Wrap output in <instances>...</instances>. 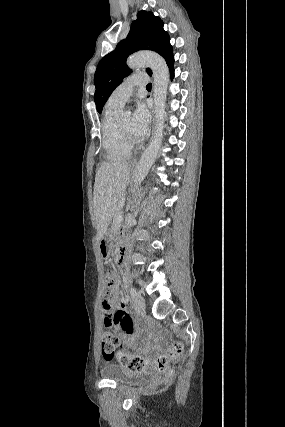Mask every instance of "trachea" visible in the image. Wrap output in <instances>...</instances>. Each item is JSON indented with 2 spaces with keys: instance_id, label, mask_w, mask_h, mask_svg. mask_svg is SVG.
Here are the masks:
<instances>
[{
  "instance_id": "3493384b",
  "label": "trachea",
  "mask_w": 285,
  "mask_h": 427,
  "mask_svg": "<svg viewBox=\"0 0 285 427\" xmlns=\"http://www.w3.org/2000/svg\"><path fill=\"white\" fill-rule=\"evenodd\" d=\"M151 87H152V85H151V83H149L147 86H146V88H150L151 89Z\"/></svg>"
}]
</instances>
